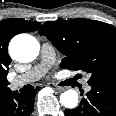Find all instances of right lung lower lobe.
<instances>
[{"label":"right lung lower lobe","mask_w":116,"mask_h":116,"mask_svg":"<svg viewBox=\"0 0 116 116\" xmlns=\"http://www.w3.org/2000/svg\"><path fill=\"white\" fill-rule=\"evenodd\" d=\"M37 90L26 93L9 91L0 97V116H30Z\"/></svg>","instance_id":"obj_1"}]
</instances>
